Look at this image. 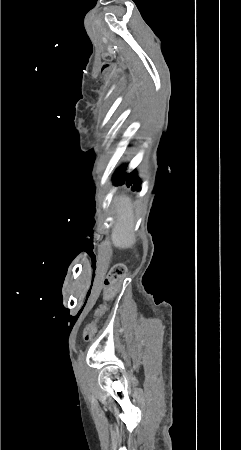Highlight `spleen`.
Returning <instances> with one entry per match:
<instances>
[{
  "label": "spleen",
  "instance_id": "1",
  "mask_svg": "<svg viewBox=\"0 0 241 450\" xmlns=\"http://www.w3.org/2000/svg\"><path fill=\"white\" fill-rule=\"evenodd\" d=\"M119 212L121 214L118 224H116L112 232V244L115 248H133L136 240L133 234V220L134 214L131 210V200L128 196H120L119 200Z\"/></svg>",
  "mask_w": 241,
  "mask_h": 450
}]
</instances>
